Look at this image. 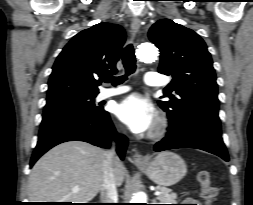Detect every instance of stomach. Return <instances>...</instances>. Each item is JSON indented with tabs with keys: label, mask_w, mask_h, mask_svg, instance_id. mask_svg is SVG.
<instances>
[{
	"label": "stomach",
	"mask_w": 253,
	"mask_h": 205,
	"mask_svg": "<svg viewBox=\"0 0 253 205\" xmlns=\"http://www.w3.org/2000/svg\"><path fill=\"white\" fill-rule=\"evenodd\" d=\"M147 176L161 186H171L180 181L186 174L184 160L171 151L159 153L146 164L139 165Z\"/></svg>",
	"instance_id": "1"
}]
</instances>
